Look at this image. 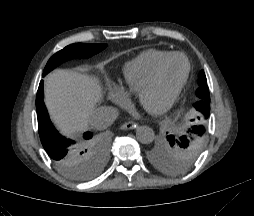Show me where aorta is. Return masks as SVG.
I'll use <instances>...</instances> for the list:
<instances>
[{"label":"aorta","instance_id":"aorta-1","mask_svg":"<svg viewBox=\"0 0 254 216\" xmlns=\"http://www.w3.org/2000/svg\"><path fill=\"white\" fill-rule=\"evenodd\" d=\"M155 134L151 127L140 126L136 130V138L142 144H149L154 140Z\"/></svg>","mask_w":254,"mask_h":216}]
</instances>
